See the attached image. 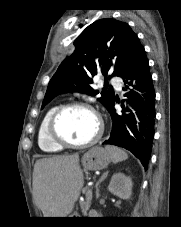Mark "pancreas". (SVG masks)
<instances>
[{"label": "pancreas", "mask_w": 181, "mask_h": 227, "mask_svg": "<svg viewBox=\"0 0 181 227\" xmlns=\"http://www.w3.org/2000/svg\"><path fill=\"white\" fill-rule=\"evenodd\" d=\"M90 205H91V201H90L89 197L86 194V200L84 202L80 203L81 211H82V214L84 216L87 215V212H88V210L90 208Z\"/></svg>", "instance_id": "obj_1"}]
</instances>
